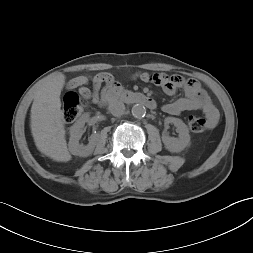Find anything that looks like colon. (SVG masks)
I'll list each match as a JSON object with an SVG mask.
<instances>
[{
	"label": "colon",
	"instance_id": "5ec220e1",
	"mask_svg": "<svg viewBox=\"0 0 253 253\" xmlns=\"http://www.w3.org/2000/svg\"><path fill=\"white\" fill-rule=\"evenodd\" d=\"M87 102L75 92H68L63 102V117L68 123L75 121L86 109ZM189 129L193 133H201L208 128V121L199 116H190L188 118Z\"/></svg>",
	"mask_w": 253,
	"mask_h": 253
}]
</instances>
